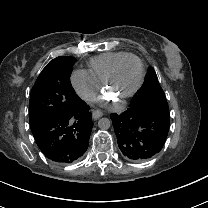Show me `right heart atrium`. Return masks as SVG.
Wrapping results in <instances>:
<instances>
[{
    "label": "right heart atrium",
    "mask_w": 208,
    "mask_h": 208,
    "mask_svg": "<svg viewBox=\"0 0 208 208\" xmlns=\"http://www.w3.org/2000/svg\"><path fill=\"white\" fill-rule=\"evenodd\" d=\"M70 80L82 100L91 103H96L100 100L101 85L96 83L89 73L73 71Z\"/></svg>",
    "instance_id": "right-heart-atrium-1"
}]
</instances>
